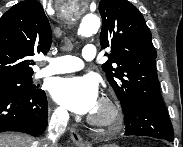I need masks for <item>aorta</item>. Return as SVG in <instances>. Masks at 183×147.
<instances>
[{"mask_svg":"<svg viewBox=\"0 0 183 147\" xmlns=\"http://www.w3.org/2000/svg\"><path fill=\"white\" fill-rule=\"evenodd\" d=\"M100 27V18L95 14H87L80 22L78 34L83 37L92 36Z\"/></svg>","mask_w":183,"mask_h":147,"instance_id":"1","label":"aorta"}]
</instances>
